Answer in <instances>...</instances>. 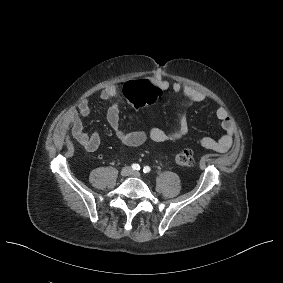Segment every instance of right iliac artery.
Returning a JSON list of instances; mask_svg holds the SVG:
<instances>
[{
  "mask_svg": "<svg viewBox=\"0 0 283 283\" xmlns=\"http://www.w3.org/2000/svg\"><path fill=\"white\" fill-rule=\"evenodd\" d=\"M131 167H132V169L135 170V171L140 170V165H139V164H136V163H135V164H132Z\"/></svg>",
  "mask_w": 283,
  "mask_h": 283,
  "instance_id": "1",
  "label": "right iliac artery"
}]
</instances>
